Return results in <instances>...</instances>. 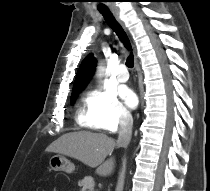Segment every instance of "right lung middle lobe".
<instances>
[{"label":"right lung middle lobe","mask_w":210,"mask_h":191,"mask_svg":"<svg viewBox=\"0 0 210 191\" xmlns=\"http://www.w3.org/2000/svg\"><path fill=\"white\" fill-rule=\"evenodd\" d=\"M75 97L76 96H74V97L71 98V104H73Z\"/></svg>","instance_id":"1"}]
</instances>
